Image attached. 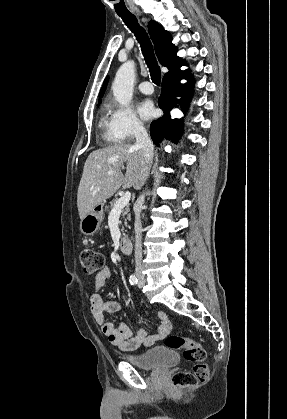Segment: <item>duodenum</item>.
Instances as JSON below:
<instances>
[{"mask_svg": "<svg viewBox=\"0 0 287 419\" xmlns=\"http://www.w3.org/2000/svg\"><path fill=\"white\" fill-rule=\"evenodd\" d=\"M133 249V244L132 241L129 237L127 236H122L120 238V250L122 253L129 255L131 254Z\"/></svg>", "mask_w": 287, "mask_h": 419, "instance_id": "410a0bca", "label": "duodenum"}]
</instances>
